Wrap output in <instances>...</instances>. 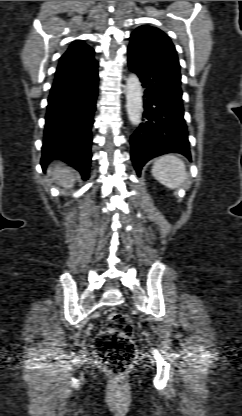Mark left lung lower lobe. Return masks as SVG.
I'll list each match as a JSON object with an SVG mask.
<instances>
[{"instance_id": "obj_1", "label": "left lung lower lobe", "mask_w": 242, "mask_h": 416, "mask_svg": "<svg viewBox=\"0 0 242 416\" xmlns=\"http://www.w3.org/2000/svg\"><path fill=\"white\" fill-rule=\"evenodd\" d=\"M128 65L144 88V119L131 135V159L137 174L150 159L171 152L190 158L181 75L167 52L131 35Z\"/></svg>"}]
</instances>
